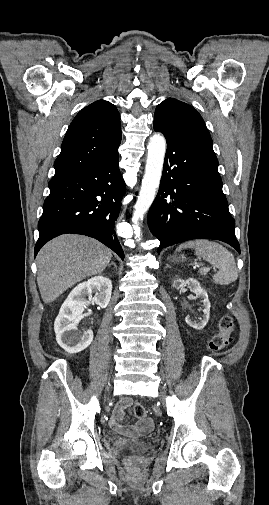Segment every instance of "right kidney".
<instances>
[{"label":"right kidney","mask_w":269,"mask_h":505,"mask_svg":"<svg viewBox=\"0 0 269 505\" xmlns=\"http://www.w3.org/2000/svg\"><path fill=\"white\" fill-rule=\"evenodd\" d=\"M112 293V282L104 276H95L78 284L61 306L54 322L58 344L68 353L75 354L86 349L93 341L91 329L81 333L77 328L78 319L89 303L86 299L106 308ZM92 294L94 296L92 297Z\"/></svg>","instance_id":"1"}]
</instances>
